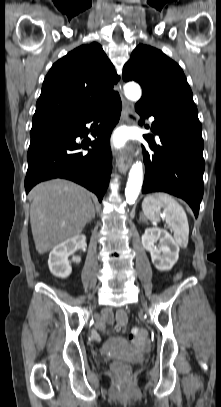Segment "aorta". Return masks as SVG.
<instances>
[{
  "label": "aorta",
  "instance_id": "1",
  "mask_svg": "<svg viewBox=\"0 0 221 407\" xmlns=\"http://www.w3.org/2000/svg\"><path fill=\"white\" fill-rule=\"evenodd\" d=\"M125 96L132 100L138 101L141 98L140 86L134 82L127 83L124 86ZM143 183L142 163L137 161L130 169L128 181L125 189L126 201L128 204H133L137 199Z\"/></svg>",
  "mask_w": 221,
  "mask_h": 407
}]
</instances>
